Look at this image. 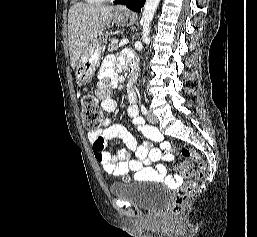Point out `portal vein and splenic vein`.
<instances>
[{"mask_svg":"<svg viewBox=\"0 0 257 237\" xmlns=\"http://www.w3.org/2000/svg\"><path fill=\"white\" fill-rule=\"evenodd\" d=\"M128 43H129L128 40L123 39V40L120 41L119 46H123V45L128 44Z\"/></svg>","mask_w":257,"mask_h":237,"instance_id":"1","label":"portal vein and splenic vein"}]
</instances>
